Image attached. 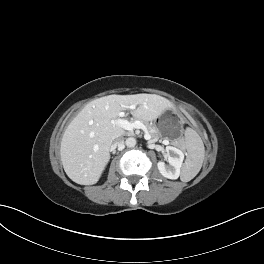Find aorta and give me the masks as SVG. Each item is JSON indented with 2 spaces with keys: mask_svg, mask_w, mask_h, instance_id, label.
Masks as SVG:
<instances>
[{
  "mask_svg": "<svg viewBox=\"0 0 264 264\" xmlns=\"http://www.w3.org/2000/svg\"><path fill=\"white\" fill-rule=\"evenodd\" d=\"M125 144L127 147H134L136 145V139L134 137H129L126 139Z\"/></svg>",
  "mask_w": 264,
  "mask_h": 264,
  "instance_id": "aorta-1",
  "label": "aorta"
}]
</instances>
